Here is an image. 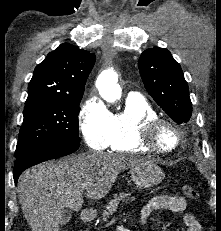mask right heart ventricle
Masks as SVG:
<instances>
[{"label": "right heart ventricle", "mask_w": 221, "mask_h": 231, "mask_svg": "<svg viewBox=\"0 0 221 231\" xmlns=\"http://www.w3.org/2000/svg\"><path fill=\"white\" fill-rule=\"evenodd\" d=\"M157 117L155 110L142 97H128L122 111L112 114L110 135L105 148L117 152H148L138 140L140 123Z\"/></svg>", "instance_id": "right-heart-ventricle-1"}]
</instances>
